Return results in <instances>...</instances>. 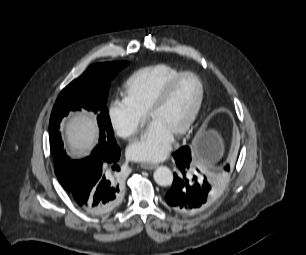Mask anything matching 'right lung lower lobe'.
<instances>
[{
	"label": "right lung lower lobe",
	"mask_w": 306,
	"mask_h": 255,
	"mask_svg": "<svg viewBox=\"0 0 306 255\" xmlns=\"http://www.w3.org/2000/svg\"><path fill=\"white\" fill-rule=\"evenodd\" d=\"M120 149H102L95 156L70 162L69 177L63 185L72 199L85 211L95 215L111 212L122 197V180L117 171ZM114 167L110 175L107 168Z\"/></svg>",
	"instance_id": "1"
}]
</instances>
